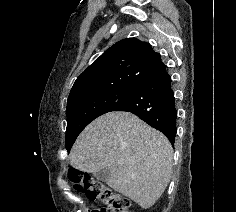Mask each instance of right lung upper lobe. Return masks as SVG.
I'll return each mask as SVG.
<instances>
[{
    "mask_svg": "<svg viewBox=\"0 0 236 212\" xmlns=\"http://www.w3.org/2000/svg\"><path fill=\"white\" fill-rule=\"evenodd\" d=\"M162 64L160 54L147 42L126 38L106 50L75 81L67 103L97 93L135 87Z\"/></svg>",
    "mask_w": 236,
    "mask_h": 212,
    "instance_id": "obj_1",
    "label": "right lung upper lobe"
}]
</instances>
